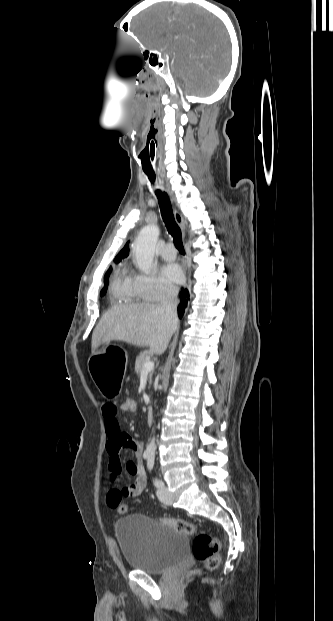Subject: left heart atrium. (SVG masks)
Returning <instances> with one entry per match:
<instances>
[{
  "instance_id": "left-heart-atrium-1",
  "label": "left heart atrium",
  "mask_w": 333,
  "mask_h": 621,
  "mask_svg": "<svg viewBox=\"0 0 333 621\" xmlns=\"http://www.w3.org/2000/svg\"><path fill=\"white\" fill-rule=\"evenodd\" d=\"M163 279L170 284H180L183 281V272L176 263H168L161 269Z\"/></svg>"
}]
</instances>
